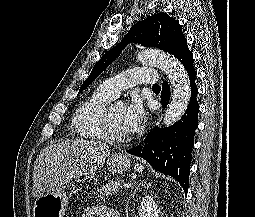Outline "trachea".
<instances>
[{"mask_svg": "<svg viewBox=\"0 0 255 217\" xmlns=\"http://www.w3.org/2000/svg\"><path fill=\"white\" fill-rule=\"evenodd\" d=\"M153 89H160V86L158 84H154Z\"/></svg>", "mask_w": 255, "mask_h": 217, "instance_id": "3493384b", "label": "trachea"}]
</instances>
